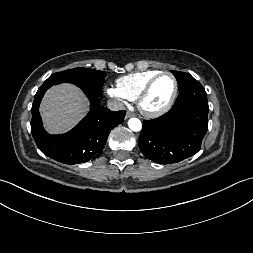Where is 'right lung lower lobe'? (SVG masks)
<instances>
[{"label":"right lung lower lobe","instance_id":"obj_1","mask_svg":"<svg viewBox=\"0 0 253 253\" xmlns=\"http://www.w3.org/2000/svg\"><path fill=\"white\" fill-rule=\"evenodd\" d=\"M51 86L43 84L32 104L31 132L38 148L48 157L65 164H78L94 160L106 144L111 130L124 122L125 111L113 112L100 106L99 96L86 94L91 110L71 131L62 135H49L42 126L39 104Z\"/></svg>","mask_w":253,"mask_h":253}]
</instances>
